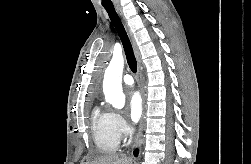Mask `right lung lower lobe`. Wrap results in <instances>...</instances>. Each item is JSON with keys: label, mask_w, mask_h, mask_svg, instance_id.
<instances>
[{"label": "right lung lower lobe", "mask_w": 251, "mask_h": 164, "mask_svg": "<svg viewBox=\"0 0 251 164\" xmlns=\"http://www.w3.org/2000/svg\"><path fill=\"white\" fill-rule=\"evenodd\" d=\"M137 153H138V151H137V149L134 151V155L136 156L137 155Z\"/></svg>", "instance_id": "98d812e1"}]
</instances>
